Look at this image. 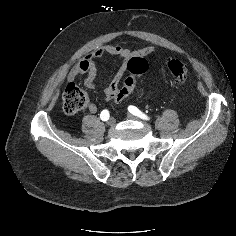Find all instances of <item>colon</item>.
Returning a JSON list of instances; mask_svg holds the SVG:
<instances>
[{"mask_svg": "<svg viewBox=\"0 0 236 236\" xmlns=\"http://www.w3.org/2000/svg\"><path fill=\"white\" fill-rule=\"evenodd\" d=\"M167 68L173 75L177 83H185L189 77V67L187 63L172 59L168 62ZM129 75L123 82L115 96L114 101L120 102L129 97L134 92L137 78L148 70V62L144 58L132 57L127 64ZM89 102L87 93L76 84H69L63 93V108L67 114H76L84 109Z\"/></svg>", "mask_w": 236, "mask_h": 236, "instance_id": "1", "label": "colon"}]
</instances>
